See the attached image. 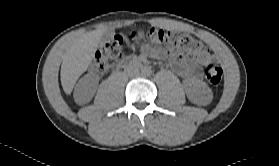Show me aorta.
<instances>
[{
	"label": "aorta",
	"mask_w": 279,
	"mask_h": 166,
	"mask_svg": "<svg viewBox=\"0 0 279 166\" xmlns=\"http://www.w3.org/2000/svg\"><path fill=\"white\" fill-rule=\"evenodd\" d=\"M141 74L143 76H150L152 74V70H151V67L149 66H144L141 68Z\"/></svg>",
	"instance_id": "obj_1"
}]
</instances>
